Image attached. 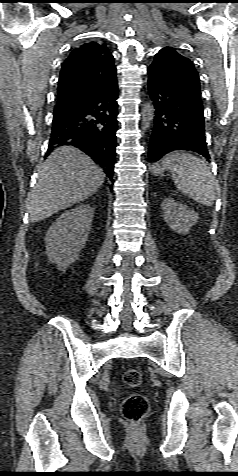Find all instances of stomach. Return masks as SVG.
<instances>
[{"instance_id": "stomach-1", "label": "stomach", "mask_w": 238, "mask_h": 476, "mask_svg": "<svg viewBox=\"0 0 238 476\" xmlns=\"http://www.w3.org/2000/svg\"><path fill=\"white\" fill-rule=\"evenodd\" d=\"M164 167H163V164L162 163H159V164H155L153 167H152V173L156 176H159V175H162L163 174V171H164Z\"/></svg>"}]
</instances>
